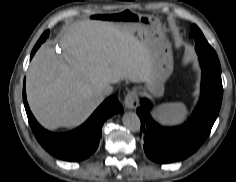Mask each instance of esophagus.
Returning a JSON list of instances; mask_svg holds the SVG:
<instances>
[{
  "label": "esophagus",
  "instance_id": "esophagus-1",
  "mask_svg": "<svg viewBox=\"0 0 236 182\" xmlns=\"http://www.w3.org/2000/svg\"><path fill=\"white\" fill-rule=\"evenodd\" d=\"M125 105L128 109H136L138 107L139 97L136 90H132L126 95Z\"/></svg>",
  "mask_w": 236,
  "mask_h": 182
}]
</instances>
